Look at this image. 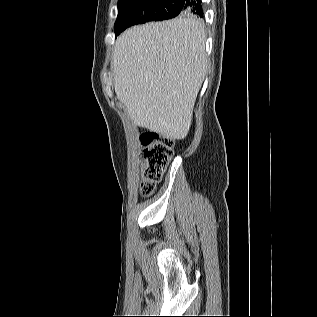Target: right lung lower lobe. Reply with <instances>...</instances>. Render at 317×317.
Here are the masks:
<instances>
[{
	"instance_id": "right-lung-lower-lobe-1",
	"label": "right lung lower lobe",
	"mask_w": 317,
	"mask_h": 317,
	"mask_svg": "<svg viewBox=\"0 0 317 317\" xmlns=\"http://www.w3.org/2000/svg\"><path fill=\"white\" fill-rule=\"evenodd\" d=\"M178 5L182 12L191 13L203 17L201 0H178Z\"/></svg>"
}]
</instances>
